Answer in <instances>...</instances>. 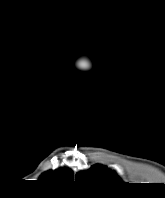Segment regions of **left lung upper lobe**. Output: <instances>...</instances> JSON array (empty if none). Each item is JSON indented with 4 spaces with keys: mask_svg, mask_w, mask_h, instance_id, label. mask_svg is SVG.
I'll return each instance as SVG.
<instances>
[{
    "mask_svg": "<svg viewBox=\"0 0 165 198\" xmlns=\"http://www.w3.org/2000/svg\"><path fill=\"white\" fill-rule=\"evenodd\" d=\"M76 179L94 185L100 184H118L122 182L117 175L101 165H95L87 171L76 174Z\"/></svg>",
    "mask_w": 165,
    "mask_h": 198,
    "instance_id": "left-lung-upper-lobe-1",
    "label": "left lung upper lobe"
}]
</instances>
